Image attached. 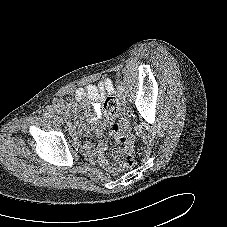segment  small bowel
I'll use <instances>...</instances> for the list:
<instances>
[{
  "instance_id": "obj_1",
  "label": "small bowel",
  "mask_w": 227,
  "mask_h": 227,
  "mask_svg": "<svg viewBox=\"0 0 227 227\" xmlns=\"http://www.w3.org/2000/svg\"><path fill=\"white\" fill-rule=\"evenodd\" d=\"M114 90L113 84L110 80H105L98 86L96 85H87L86 87L78 88L75 91L76 98L79 100L84 99L85 97L91 98V99H103L105 93H112ZM74 137H76V133L73 132ZM106 150V147L104 144H99L97 150H96V156L101 162V164L110 172L117 173L118 169L114 165L110 164L103 156L104 151ZM85 151L89 154L92 153V149L89 145L85 146Z\"/></svg>"
}]
</instances>
